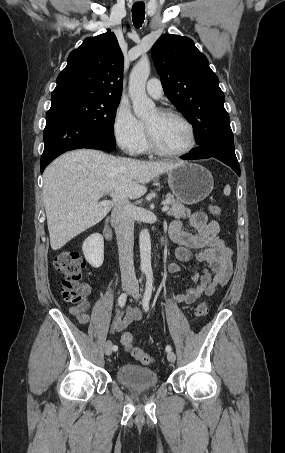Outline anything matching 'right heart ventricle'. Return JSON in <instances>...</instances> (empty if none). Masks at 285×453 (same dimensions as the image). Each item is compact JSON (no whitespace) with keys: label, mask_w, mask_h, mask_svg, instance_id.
<instances>
[{"label":"right heart ventricle","mask_w":285,"mask_h":453,"mask_svg":"<svg viewBox=\"0 0 285 453\" xmlns=\"http://www.w3.org/2000/svg\"><path fill=\"white\" fill-rule=\"evenodd\" d=\"M140 151H141V152H147V151H149V147H148V144H147L146 137L144 138V140H143V142H142V144H141Z\"/></svg>","instance_id":"right-heart-ventricle-1"}]
</instances>
